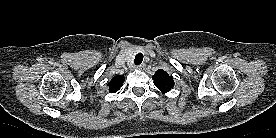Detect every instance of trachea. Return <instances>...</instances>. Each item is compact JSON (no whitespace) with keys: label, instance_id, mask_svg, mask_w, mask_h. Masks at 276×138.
I'll use <instances>...</instances> for the list:
<instances>
[{"label":"trachea","instance_id":"trachea-1","mask_svg":"<svg viewBox=\"0 0 276 138\" xmlns=\"http://www.w3.org/2000/svg\"><path fill=\"white\" fill-rule=\"evenodd\" d=\"M143 61V54L142 53H138L136 56H135V59H134V63L135 65H140Z\"/></svg>","mask_w":276,"mask_h":138}]
</instances>
